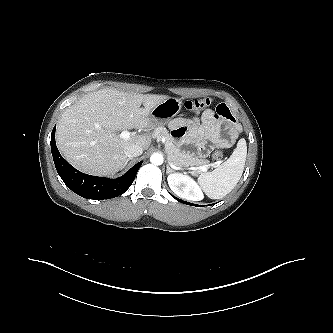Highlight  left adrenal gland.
<instances>
[{"instance_id":"left-adrenal-gland-1","label":"left adrenal gland","mask_w":333,"mask_h":333,"mask_svg":"<svg viewBox=\"0 0 333 333\" xmlns=\"http://www.w3.org/2000/svg\"><path fill=\"white\" fill-rule=\"evenodd\" d=\"M171 172H172V169L167 165V171H166V173L169 174Z\"/></svg>"}]
</instances>
